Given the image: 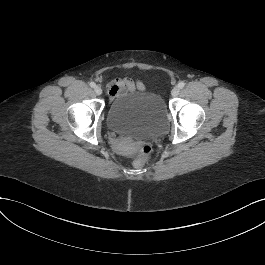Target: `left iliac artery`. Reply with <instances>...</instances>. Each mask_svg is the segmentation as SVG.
<instances>
[{
  "label": "left iliac artery",
  "instance_id": "left-iliac-artery-1",
  "mask_svg": "<svg viewBox=\"0 0 265 265\" xmlns=\"http://www.w3.org/2000/svg\"><path fill=\"white\" fill-rule=\"evenodd\" d=\"M185 86V83L183 81L178 83V87L182 89Z\"/></svg>",
  "mask_w": 265,
  "mask_h": 265
}]
</instances>
